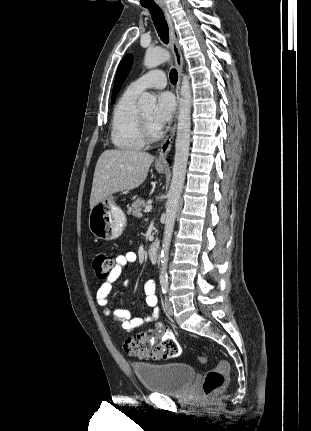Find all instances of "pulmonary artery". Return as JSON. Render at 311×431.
Returning a JSON list of instances; mask_svg holds the SVG:
<instances>
[{
    "mask_svg": "<svg viewBox=\"0 0 311 431\" xmlns=\"http://www.w3.org/2000/svg\"><path fill=\"white\" fill-rule=\"evenodd\" d=\"M167 85V76L161 69L149 71L133 81L128 88L135 93H141L147 89H161Z\"/></svg>",
    "mask_w": 311,
    "mask_h": 431,
    "instance_id": "1",
    "label": "pulmonary artery"
}]
</instances>
